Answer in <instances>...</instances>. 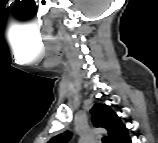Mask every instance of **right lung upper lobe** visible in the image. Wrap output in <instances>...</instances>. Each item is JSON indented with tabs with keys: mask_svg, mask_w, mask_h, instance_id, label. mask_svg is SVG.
Masks as SVG:
<instances>
[{
	"mask_svg": "<svg viewBox=\"0 0 158 143\" xmlns=\"http://www.w3.org/2000/svg\"><path fill=\"white\" fill-rule=\"evenodd\" d=\"M90 112L93 115L92 122L94 126L107 130L110 143H124L127 141L129 138L128 129L108 105L96 103ZM71 136V132L61 133L53 137L49 143H67Z\"/></svg>",
	"mask_w": 158,
	"mask_h": 143,
	"instance_id": "obj_1",
	"label": "right lung upper lobe"
}]
</instances>
